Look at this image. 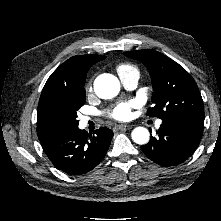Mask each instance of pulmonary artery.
Returning <instances> with one entry per match:
<instances>
[{
	"instance_id": "obj_1",
	"label": "pulmonary artery",
	"mask_w": 221,
	"mask_h": 221,
	"mask_svg": "<svg viewBox=\"0 0 221 221\" xmlns=\"http://www.w3.org/2000/svg\"><path fill=\"white\" fill-rule=\"evenodd\" d=\"M119 77L124 87L131 90L134 89L138 84L139 73L137 71H130L126 73H120ZM88 119V117L83 118L82 123L86 124ZM161 123L162 121L158 120L156 122V126L159 127Z\"/></svg>"
}]
</instances>
